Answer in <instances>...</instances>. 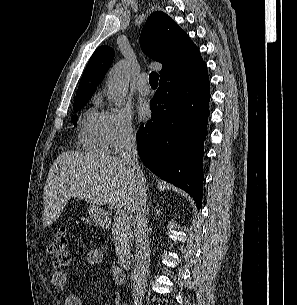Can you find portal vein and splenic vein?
<instances>
[{
    "mask_svg": "<svg viewBox=\"0 0 297 305\" xmlns=\"http://www.w3.org/2000/svg\"><path fill=\"white\" fill-rule=\"evenodd\" d=\"M119 219H121V220H126V219H128V213L127 212H121L120 214H119Z\"/></svg>",
    "mask_w": 297,
    "mask_h": 305,
    "instance_id": "18ae733b",
    "label": "portal vein and splenic vein"
}]
</instances>
